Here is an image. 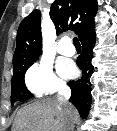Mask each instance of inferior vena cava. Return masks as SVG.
Returning <instances> with one entry per match:
<instances>
[{
    "instance_id": "1",
    "label": "inferior vena cava",
    "mask_w": 117,
    "mask_h": 131,
    "mask_svg": "<svg viewBox=\"0 0 117 131\" xmlns=\"http://www.w3.org/2000/svg\"><path fill=\"white\" fill-rule=\"evenodd\" d=\"M70 96H71V89L68 86L64 85L59 88L57 99L61 104H63L67 112V115L69 117L67 131L72 130L73 123H74L72 120V116H73L72 105L69 103Z\"/></svg>"
}]
</instances>
